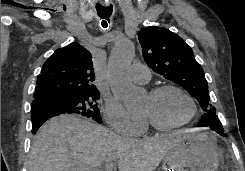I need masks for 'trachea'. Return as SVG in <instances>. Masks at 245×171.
<instances>
[{
  "instance_id": "obj_1",
  "label": "trachea",
  "mask_w": 245,
  "mask_h": 171,
  "mask_svg": "<svg viewBox=\"0 0 245 171\" xmlns=\"http://www.w3.org/2000/svg\"><path fill=\"white\" fill-rule=\"evenodd\" d=\"M96 10H97V14L101 20V26L103 28H107L108 23L110 22L109 18L113 12V7L112 6H103L100 3H97Z\"/></svg>"
}]
</instances>
